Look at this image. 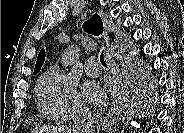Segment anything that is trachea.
Instances as JSON below:
<instances>
[{"label": "trachea", "instance_id": "obj_1", "mask_svg": "<svg viewBox=\"0 0 184 133\" xmlns=\"http://www.w3.org/2000/svg\"><path fill=\"white\" fill-rule=\"evenodd\" d=\"M100 62H101V64H102L103 66H106V62H105V60H104L103 52H102L101 55H100Z\"/></svg>", "mask_w": 184, "mask_h": 133}]
</instances>
